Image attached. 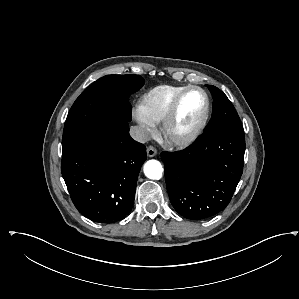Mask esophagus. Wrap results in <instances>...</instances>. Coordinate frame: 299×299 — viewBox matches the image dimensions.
Instances as JSON below:
<instances>
[{
	"label": "esophagus",
	"mask_w": 299,
	"mask_h": 299,
	"mask_svg": "<svg viewBox=\"0 0 299 299\" xmlns=\"http://www.w3.org/2000/svg\"><path fill=\"white\" fill-rule=\"evenodd\" d=\"M157 154V150L153 146L147 148V156L154 157Z\"/></svg>",
	"instance_id": "1"
}]
</instances>
